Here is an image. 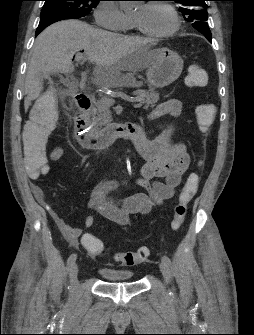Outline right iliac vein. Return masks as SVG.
I'll use <instances>...</instances> for the list:
<instances>
[{
	"instance_id": "63e3f726",
	"label": "right iliac vein",
	"mask_w": 254,
	"mask_h": 335,
	"mask_svg": "<svg viewBox=\"0 0 254 335\" xmlns=\"http://www.w3.org/2000/svg\"><path fill=\"white\" fill-rule=\"evenodd\" d=\"M77 275H78V265L74 264L71 268L70 273L71 287L74 292H77L79 286Z\"/></svg>"
}]
</instances>
